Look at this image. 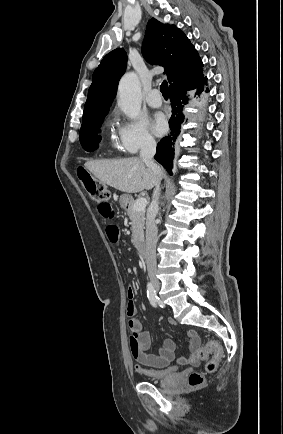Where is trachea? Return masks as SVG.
<instances>
[{"label":"trachea","mask_w":283,"mask_h":434,"mask_svg":"<svg viewBox=\"0 0 283 434\" xmlns=\"http://www.w3.org/2000/svg\"><path fill=\"white\" fill-rule=\"evenodd\" d=\"M160 91L163 95V97H168L169 93H168V82L166 80H164L160 86Z\"/></svg>","instance_id":"1"}]
</instances>
